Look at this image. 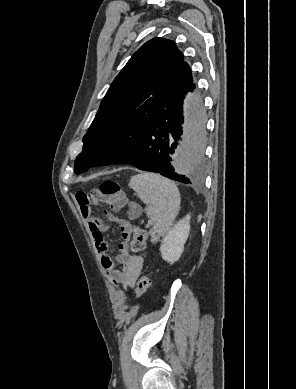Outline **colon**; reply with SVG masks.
<instances>
[{
	"mask_svg": "<svg viewBox=\"0 0 296 389\" xmlns=\"http://www.w3.org/2000/svg\"><path fill=\"white\" fill-rule=\"evenodd\" d=\"M99 196L100 198L110 204L111 206L118 205L123 200L122 191L120 185L112 180L105 179L99 188ZM147 240V232L144 228L140 226H136L133 229L132 238L130 241V247L133 252H141L145 249ZM151 278L148 274H144L139 279L137 285V297L141 298L147 292L149 287L151 286Z\"/></svg>",
	"mask_w": 296,
	"mask_h": 389,
	"instance_id": "1",
	"label": "colon"
}]
</instances>
